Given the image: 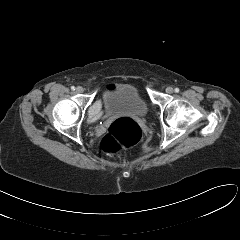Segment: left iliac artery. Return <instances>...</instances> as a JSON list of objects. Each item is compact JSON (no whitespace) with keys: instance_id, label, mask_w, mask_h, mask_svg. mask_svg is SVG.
Instances as JSON below:
<instances>
[{"instance_id":"left-iliac-artery-1","label":"left iliac artery","mask_w":240,"mask_h":240,"mask_svg":"<svg viewBox=\"0 0 240 240\" xmlns=\"http://www.w3.org/2000/svg\"><path fill=\"white\" fill-rule=\"evenodd\" d=\"M174 91H175V93H178L180 90H179V88H175Z\"/></svg>"}]
</instances>
